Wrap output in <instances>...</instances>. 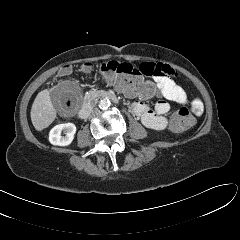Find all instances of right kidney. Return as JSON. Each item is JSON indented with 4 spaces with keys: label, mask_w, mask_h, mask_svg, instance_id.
I'll use <instances>...</instances> for the list:
<instances>
[{
    "label": "right kidney",
    "mask_w": 240,
    "mask_h": 240,
    "mask_svg": "<svg viewBox=\"0 0 240 240\" xmlns=\"http://www.w3.org/2000/svg\"><path fill=\"white\" fill-rule=\"evenodd\" d=\"M64 131L65 136L61 133ZM76 133V126L73 123H62L53 127L49 133V141L53 145L67 146L73 139Z\"/></svg>",
    "instance_id": "ca27d5eb"
}]
</instances>
